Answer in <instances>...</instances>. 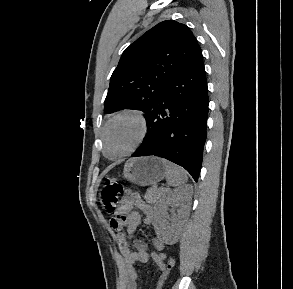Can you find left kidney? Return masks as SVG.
<instances>
[{
  "instance_id": "5707ae66",
  "label": "left kidney",
  "mask_w": 293,
  "mask_h": 289,
  "mask_svg": "<svg viewBox=\"0 0 293 289\" xmlns=\"http://www.w3.org/2000/svg\"><path fill=\"white\" fill-rule=\"evenodd\" d=\"M190 186H184L170 191L161 201L154 217V229L157 238L165 244L171 245L178 241L184 218L189 211ZM178 208V214H173L172 225H168L166 219L169 217L167 210L169 207Z\"/></svg>"
}]
</instances>
